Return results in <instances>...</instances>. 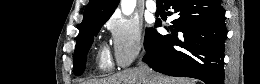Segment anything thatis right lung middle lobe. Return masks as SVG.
Instances as JSON below:
<instances>
[{
  "label": "right lung middle lobe",
  "mask_w": 260,
  "mask_h": 84,
  "mask_svg": "<svg viewBox=\"0 0 260 84\" xmlns=\"http://www.w3.org/2000/svg\"><path fill=\"white\" fill-rule=\"evenodd\" d=\"M105 22L106 20L93 23L89 28L84 30L77 37V43L74 52V73L76 75H81L84 72L85 65H86V55L93 42V37L97 35L100 28L103 26ZM152 31H153L152 28L146 30V35L144 38L145 50L149 46Z\"/></svg>",
  "instance_id": "right-lung-middle-lobe-1"
}]
</instances>
